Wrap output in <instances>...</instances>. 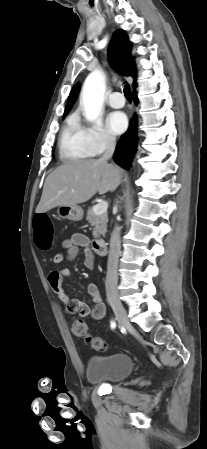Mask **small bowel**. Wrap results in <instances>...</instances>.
I'll return each mask as SVG.
<instances>
[{"label": "small bowel", "instance_id": "obj_1", "mask_svg": "<svg viewBox=\"0 0 207 449\" xmlns=\"http://www.w3.org/2000/svg\"><path fill=\"white\" fill-rule=\"evenodd\" d=\"M63 247L67 251V259L73 261L79 249H84V265L88 269H93L95 263V255L90 248L89 238L81 233L73 234L69 239L63 242ZM64 255L58 253L53 257L54 264H60L64 261ZM71 276V271L68 268L52 270L48 274V283L52 290L57 294L58 298L65 304V310L68 314H78L81 317L91 316L93 319L99 320L106 315V308L102 302L99 288L95 283H89L87 286V293L91 298L92 307L79 299L72 298L65 291L63 287L64 279Z\"/></svg>", "mask_w": 207, "mask_h": 449}]
</instances>
